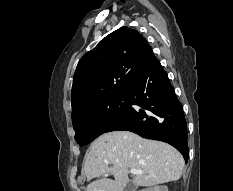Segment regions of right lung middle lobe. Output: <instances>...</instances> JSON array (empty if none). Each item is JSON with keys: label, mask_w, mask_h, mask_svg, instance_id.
<instances>
[{"label": "right lung middle lobe", "mask_w": 233, "mask_h": 191, "mask_svg": "<svg viewBox=\"0 0 233 191\" xmlns=\"http://www.w3.org/2000/svg\"><path fill=\"white\" fill-rule=\"evenodd\" d=\"M128 108L127 95L101 102L72 117L75 140L84 146L104 133V130Z\"/></svg>", "instance_id": "dd1d6c3e"}]
</instances>
